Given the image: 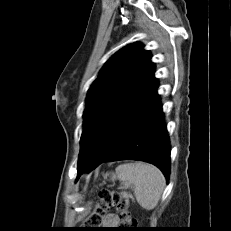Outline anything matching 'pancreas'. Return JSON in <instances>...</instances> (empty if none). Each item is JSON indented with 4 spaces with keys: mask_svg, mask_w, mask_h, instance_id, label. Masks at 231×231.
<instances>
[{
    "mask_svg": "<svg viewBox=\"0 0 231 231\" xmlns=\"http://www.w3.org/2000/svg\"><path fill=\"white\" fill-rule=\"evenodd\" d=\"M120 195L122 198L126 199V202H128L129 198H132V195L127 192H121Z\"/></svg>",
    "mask_w": 231,
    "mask_h": 231,
    "instance_id": "obj_1",
    "label": "pancreas"
}]
</instances>
